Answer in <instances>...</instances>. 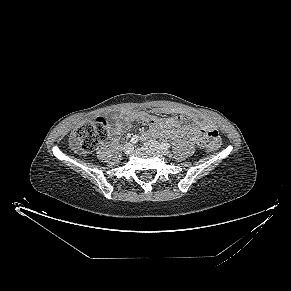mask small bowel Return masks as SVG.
<instances>
[{
	"mask_svg": "<svg viewBox=\"0 0 291 291\" xmlns=\"http://www.w3.org/2000/svg\"><path fill=\"white\" fill-rule=\"evenodd\" d=\"M159 113H171V108H158ZM198 126L190 128L183 125V119L179 115H173L167 118L149 114L145 111L124 110L119 116V120L115 124L114 133L119 135L123 133L134 122H145L149 126V131L143 132L142 139H146L151 135L164 136L170 138H182L190 136L194 142L200 146L206 145L213 133H217L214 126L201 115L196 113L189 114Z\"/></svg>",
	"mask_w": 291,
	"mask_h": 291,
	"instance_id": "obj_1",
	"label": "small bowel"
}]
</instances>
